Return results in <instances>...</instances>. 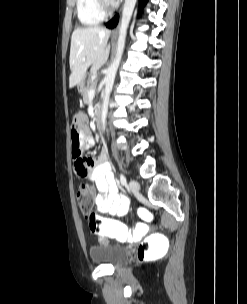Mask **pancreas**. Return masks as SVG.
I'll use <instances>...</instances> for the list:
<instances>
[{"label":"pancreas","instance_id":"obj_1","mask_svg":"<svg viewBox=\"0 0 247 304\" xmlns=\"http://www.w3.org/2000/svg\"><path fill=\"white\" fill-rule=\"evenodd\" d=\"M95 87H96V82L89 81V82H87V85L81 90L84 102H86L88 100V97H89L88 92L91 89H94Z\"/></svg>","mask_w":247,"mask_h":304}]
</instances>
